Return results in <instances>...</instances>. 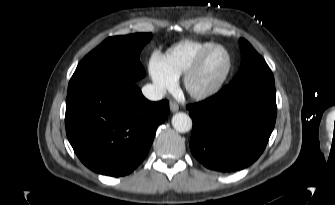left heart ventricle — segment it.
I'll use <instances>...</instances> for the list:
<instances>
[{"mask_svg":"<svg viewBox=\"0 0 335 205\" xmlns=\"http://www.w3.org/2000/svg\"><path fill=\"white\" fill-rule=\"evenodd\" d=\"M227 66V56L222 50L214 51L206 60L201 72L194 80L196 89H205L213 85L223 74Z\"/></svg>","mask_w":335,"mask_h":205,"instance_id":"b2bd125f","label":"left heart ventricle"}]
</instances>
